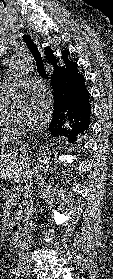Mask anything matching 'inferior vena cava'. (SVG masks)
Listing matches in <instances>:
<instances>
[{
    "instance_id": "1",
    "label": "inferior vena cava",
    "mask_w": 113,
    "mask_h": 279,
    "mask_svg": "<svg viewBox=\"0 0 113 279\" xmlns=\"http://www.w3.org/2000/svg\"><path fill=\"white\" fill-rule=\"evenodd\" d=\"M27 144H22L21 151H26ZM24 185V200H23V220H22V242L20 245V251L18 254L17 266L21 272H28L29 267V248L32 240L33 230V197H32V176L28 175Z\"/></svg>"
}]
</instances>
